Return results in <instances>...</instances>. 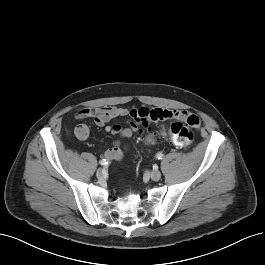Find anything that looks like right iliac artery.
<instances>
[{
    "label": "right iliac artery",
    "mask_w": 265,
    "mask_h": 265,
    "mask_svg": "<svg viewBox=\"0 0 265 265\" xmlns=\"http://www.w3.org/2000/svg\"><path fill=\"white\" fill-rule=\"evenodd\" d=\"M100 164L103 165V166H108L109 165V161L106 160V159H102V160H100Z\"/></svg>",
    "instance_id": "obj_1"
}]
</instances>
